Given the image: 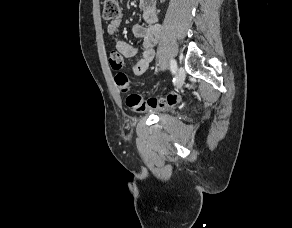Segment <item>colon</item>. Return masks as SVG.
Here are the masks:
<instances>
[{"label":"colon","mask_w":292,"mask_h":228,"mask_svg":"<svg viewBox=\"0 0 292 228\" xmlns=\"http://www.w3.org/2000/svg\"><path fill=\"white\" fill-rule=\"evenodd\" d=\"M120 4L118 0H104L103 3V16L107 20H117L120 16ZM123 60L121 56L115 51L109 55V64L114 70L122 67ZM116 84L119 90L123 93L128 92L127 78L123 74L115 77ZM179 100L175 94H170L166 98L151 97L144 99L140 94L131 93L126 98L127 106L136 112H144L150 109L164 108L166 106H173Z\"/></svg>","instance_id":"5ec220e1"}]
</instances>
